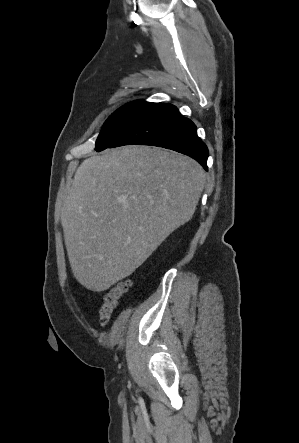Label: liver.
<instances>
[{"label":"liver","mask_w":299,"mask_h":443,"mask_svg":"<svg viewBox=\"0 0 299 443\" xmlns=\"http://www.w3.org/2000/svg\"><path fill=\"white\" fill-rule=\"evenodd\" d=\"M206 182L194 159L125 146L78 167L61 213L75 279L101 292L131 275L193 216Z\"/></svg>","instance_id":"liver-1"}]
</instances>
